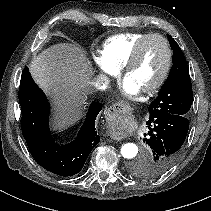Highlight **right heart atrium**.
Here are the masks:
<instances>
[{
	"label": "right heart atrium",
	"instance_id": "obj_1",
	"mask_svg": "<svg viewBox=\"0 0 211 211\" xmlns=\"http://www.w3.org/2000/svg\"><path fill=\"white\" fill-rule=\"evenodd\" d=\"M95 65L100 71V78L102 82H107V77H116L118 70L114 67L109 66L101 55H93Z\"/></svg>",
	"mask_w": 211,
	"mask_h": 211
}]
</instances>
